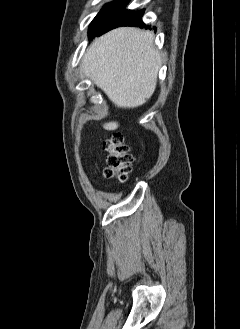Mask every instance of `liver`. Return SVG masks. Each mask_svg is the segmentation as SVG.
Segmentation results:
<instances>
[{
  "label": "liver",
  "mask_w": 240,
  "mask_h": 329,
  "mask_svg": "<svg viewBox=\"0 0 240 329\" xmlns=\"http://www.w3.org/2000/svg\"><path fill=\"white\" fill-rule=\"evenodd\" d=\"M150 31L121 27L95 39L85 53L81 70L119 108L143 105L155 91L161 66ZM115 130L118 122L103 125Z\"/></svg>",
  "instance_id": "obj_1"
}]
</instances>
